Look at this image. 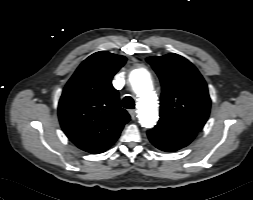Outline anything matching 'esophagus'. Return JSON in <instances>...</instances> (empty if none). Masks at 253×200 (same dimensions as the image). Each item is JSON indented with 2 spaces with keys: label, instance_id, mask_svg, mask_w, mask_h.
<instances>
[{
  "label": "esophagus",
  "instance_id": "esophagus-1",
  "mask_svg": "<svg viewBox=\"0 0 253 200\" xmlns=\"http://www.w3.org/2000/svg\"><path fill=\"white\" fill-rule=\"evenodd\" d=\"M129 113H130L131 118H132L133 120H135L136 117H137L136 111H135V110H130Z\"/></svg>",
  "mask_w": 253,
  "mask_h": 200
}]
</instances>
